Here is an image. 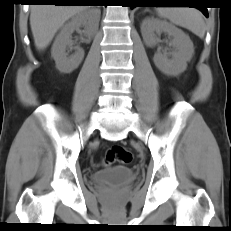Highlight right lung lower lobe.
I'll use <instances>...</instances> for the list:
<instances>
[{"label": "right lung lower lobe", "mask_w": 231, "mask_h": 231, "mask_svg": "<svg viewBox=\"0 0 231 231\" xmlns=\"http://www.w3.org/2000/svg\"><path fill=\"white\" fill-rule=\"evenodd\" d=\"M31 3H52L55 5H72L82 0H28Z\"/></svg>", "instance_id": "1"}]
</instances>
